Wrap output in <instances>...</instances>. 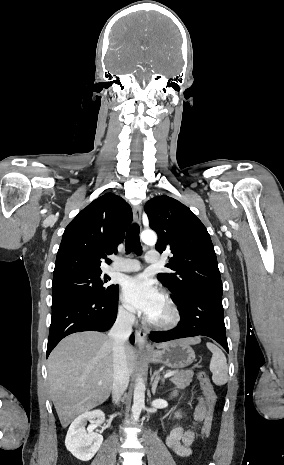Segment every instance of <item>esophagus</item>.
Returning a JSON list of instances; mask_svg holds the SVG:
<instances>
[{"label": "esophagus", "mask_w": 284, "mask_h": 465, "mask_svg": "<svg viewBox=\"0 0 284 465\" xmlns=\"http://www.w3.org/2000/svg\"><path fill=\"white\" fill-rule=\"evenodd\" d=\"M142 207L135 205L133 207V216L137 224L141 223ZM135 342L140 349H144L148 346L147 333L142 329H136L135 331Z\"/></svg>", "instance_id": "1"}]
</instances>
